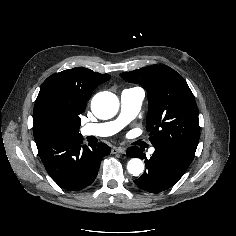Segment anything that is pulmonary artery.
I'll use <instances>...</instances> for the list:
<instances>
[{
	"label": "pulmonary artery",
	"mask_w": 236,
	"mask_h": 236,
	"mask_svg": "<svg viewBox=\"0 0 236 236\" xmlns=\"http://www.w3.org/2000/svg\"><path fill=\"white\" fill-rule=\"evenodd\" d=\"M145 93L141 88L125 89L120 96L121 110L117 119L109 122L87 124L80 129L83 136L106 137L119 132L125 125L133 120L140 111ZM154 148L149 152L153 153Z\"/></svg>",
	"instance_id": "pulmonary-artery-1"
}]
</instances>
